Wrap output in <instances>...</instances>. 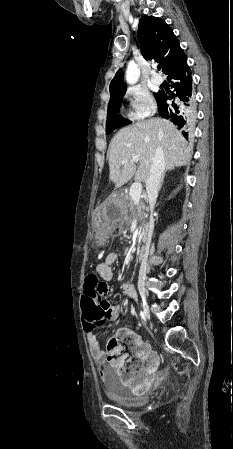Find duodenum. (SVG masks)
<instances>
[{
    "mask_svg": "<svg viewBox=\"0 0 233 449\" xmlns=\"http://www.w3.org/2000/svg\"><path fill=\"white\" fill-rule=\"evenodd\" d=\"M136 257H137L138 260H143L145 258L144 250L143 249H139L136 252Z\"/></svg>",
    "mask_w": 233,
    "mask_h": 449,
    "instance_id": "obj_1",
    "label": "duodenum"
}]
</instances>
